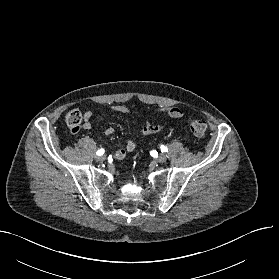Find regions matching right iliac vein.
<instances>
[{
  "label": "right iliac vein",
  "mask_w": 279,
  "mask_h": 279,
  "mask_svg": "<svg viewBox=\"0 0 279 279\" xmlns=\"http://www.w3.org/2000/svg\"><path fill=\"white\" fill-rule=\"evenodd\" d=\"M105 159H106V157H105L104 155H101V156H97V157H96V160H97V161H101V162L105 161Z\"/></svg>",
  "instance_id": "1"
}]
</instances>
